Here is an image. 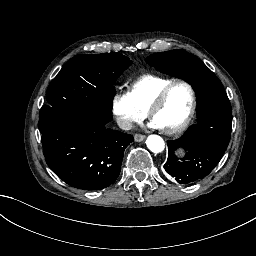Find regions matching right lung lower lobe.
Listing matches in <instances>:
<instances>
[{"label":"right lung lower lobe","mask_w":256,"mask_h":256,"mask_svg":"<svg viewBox=\"0 0 256 256\" xmlns=\"http://www.w3.org/2000/svg\"><path fill=\"white\" fill-rule=\"evenodd\" d=\"M82 119L77 126L53 123L42 131L48 166L65 183L83 190H101L115 182L132 135Z\"/></svg>","instance_id":"1"}]
</instances>
